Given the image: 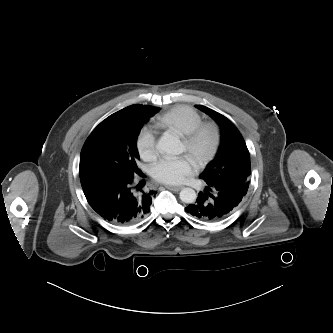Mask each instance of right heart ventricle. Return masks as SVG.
Listing matches in <instances>:
<instances>
[{"mask_svg": "<svg viewBox=\"0 0 333 333\" xmlns=\"http://www.w3.org/2000/svg\"><path fill=\"white\" fill-rule=\"evenodd\" d=\"M202 123V116L193 108L178 106L160 115L155 122L158 129L171 130L184 136Z\"/></svg>", "mask_w": 333, "mask_h": 333, "instance_id": "1", "label": "right heart ventricle"}]
</instances>
